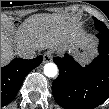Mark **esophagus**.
I'll return each instance as SVG.
<instances>
[{
	"label": "esophagus",
	"mask_w": 109,
	"mask_h": 109,
	"mask_svg": "<svg viewBox=\"0 0 109 109\" xmlns=\"http://www.w3.org/2000/svg\"><path fill=\"white\" fill-rule=\"evenodd\" d=\"M52 60V54L50 52H46L43 56V62L47 63Z\"/></svg>",
	"instance_id": "esophagus-1"
}]
</instances>
